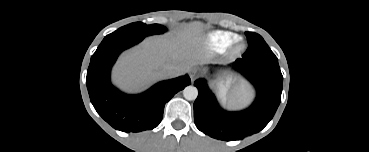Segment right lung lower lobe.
<instances>
[{"label":"right lung lower lobe","mask_w":369,"mask_h":152,"mask_svg":"<svg viewBox=\"0 0 369 152\" xmlns=\"http://www.w3.org/2000/svg\"><path fill=\"white\" fill-rule=\"evenodd\" d=\"M143 38L128 34L106 36L91 57L87 71L90 100L98 114L123 132L151 130L159 125L165 104L191 83L188 75L159 82L140 95H126L110 82V71L118 55Z\"/></svg>","instance_id":"right-lung-lower-lobe-1"}]
</instances>
